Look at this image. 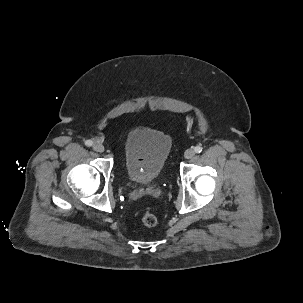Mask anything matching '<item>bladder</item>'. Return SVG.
Wrapping results in <instances>:
<instances>
[{
  "label": "bladder",
  "mask_w": 303,
  "mask_h": 303,
  "mask_svg": "<svg viewBox=\"0 0 303 303\" xmlns=\"http://www.w3.org/2000/svg\"><path fill=\"white\" fill-rule=\"evenodd\" d=\"M172 147L171 137L160 130L136 127L124 140V162L128 179L149 185L161 174Z\"/></svg>",
  "instance_id": "31cf9c89"
}]
</instances>
